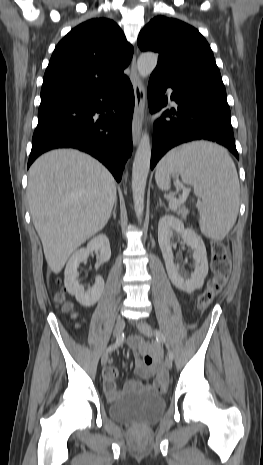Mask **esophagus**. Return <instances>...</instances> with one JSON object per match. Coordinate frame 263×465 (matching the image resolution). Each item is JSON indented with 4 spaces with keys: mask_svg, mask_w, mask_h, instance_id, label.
I'll use <instances>...</instances> for the list:
<instances>
[{
    "mask_svg": "<svg viewBox=\"0 0 263 465\" xmlns=\"http://www.w3.org/2000/svg\"><path fill=\"white\" fill-rule=\"evenodd\" d=\"M130 80L133 85L135 95V107L132 120V138L133 144L134 146H136L140 140L141 124L145 108V91L142 86L139 74L137 72L136 55H134L131 63Z\"/></svg>",
    "mask_w": 263,
    "mask_h": 465,
    "instance_id": "34e87169",
    "label": "esophagus"
}]
</instances>
